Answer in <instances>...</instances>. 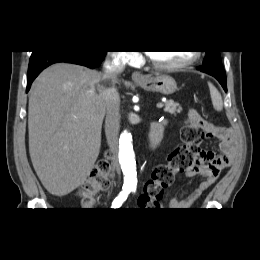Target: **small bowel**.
Returning a JSON list of instances; mask_svg holds the SVG:
<instances>
[{
  "label": "small bowel",
  "instance_id": "1",
  "mask_svg": "<svg viewBox=\"0 0 260 260\" xmlns=\"http://www.w3.org/2000/svg\"><path fill=\"white\" fill-rule=\"evenodd\" d=\"M195 121L204 132L205 138L219 140L220 152L206 149L199 151L193 165L186 171V175L188 177L200 176L201 181L191 189L170 199L169 208L174 210L189 209L203 192L215 183L220 173L228 168L236 157L237 137L231 128L216 126L203 119L197 112H195ZM138 205L142 208L154 206L143 194L139 198Z\"/></svg>",
  "mask_w": 260,
  "mask_h": 260
}]
</instances>
